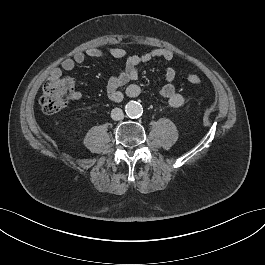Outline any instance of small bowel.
Instances as JSON below:
<instances>
[{
  "label": "small bowel",
  "mask_w": 265,
  "mask_h": 265,
  "mask_svg": "<svg viewBox=\"0 0 265 265\" xmlns=\"http://www.w3.org/2000/svg\"><path fill=\"white\" fill-rule=\"evenodd\" d=\"M86 57L99 59L113 57L125 60L124 68L117 75L110 78L107 84V96L109 100L120 102L125 94L130 97H136L140 94L141 88L136 84H130L125 92L121 90V87L137 80L141 64L154 59L170 61L173 59L174 54L166 48H156L141 55H129L125 50L117 47H108L106 49L89 47L84 52H76L72 57L63 59L60 67L52 69L51 76H61L63 72L73 70L76 65L83 63ZM175 78L176 70L173 67H168L165 71V83L160 89V95L171 107L178 108L183 105L184 97L176 90L174 84ZM74 98H80V94L76 93Z\"/></svg>",
  "instance_id": "c3829d8e"
}]
</instances>
